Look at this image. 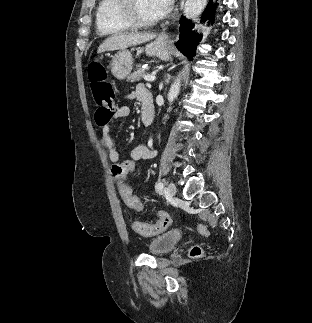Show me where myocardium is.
I'll return each instance as SVG.
<instances>
[{
    "label": "myocardium",
    "mask_w": 312,
    "mask_h": 323,
    "mask_svg": "<svg viewBox=\"0 0 312 323\" xmlns=\"http://www.w3.org/2000/svg\"><path fill=\"white\" fill-rule=\"evenodd\" d=\"M136 0H120L115 10L116 15L122 19L124 25H157V18H143L139 12H136L134 3Z\"/></svg>",
    "instance_id": "myocardium-1"
}]
</instances>
